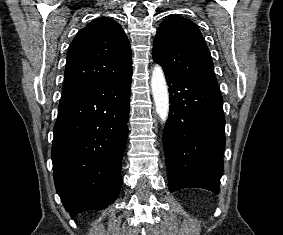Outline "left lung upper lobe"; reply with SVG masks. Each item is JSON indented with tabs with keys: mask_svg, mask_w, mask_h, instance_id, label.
Instances as JSON below:
<instances>
[{
	"mask_svg": "<svg viewBox=\"0 0 283 235\" xmlns=\"http://www.w3.org/2000/svg\"><path fill=\"white\" fill-rule=\"evenodd\" d=\"M153 59L164 72L217 84L209 49L198 26L183 17L169 16L161 23L153 43Z\"/></svg>",
	"mask_w": 283,
	"mask_h": 235,
	"instance_id": "obj_1",
	"label": "left lung upper lobe"
}]
</instances>
